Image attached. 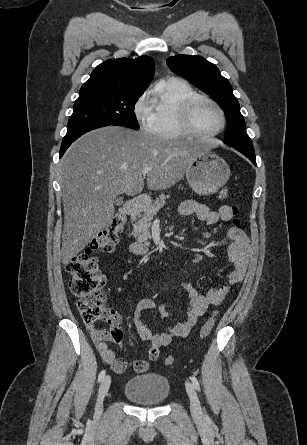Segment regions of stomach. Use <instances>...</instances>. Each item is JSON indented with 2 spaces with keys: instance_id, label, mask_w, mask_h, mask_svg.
<instances>
[{
  "instance_id": "obj_1",
  "label": "stomach",
  "mask_w": 307,
  "mask_h": 445,
  "mask_svg": "<svg viewBox=\"0 0 307 445\" xmlns=\"http://www.w3.org/2000/svg\"><path fill=\"white\" fill-rule=\"evenodd\" d=\"M188 184L196 194L217 192L230 176L229 164L216 152H200L185 170Z\"/></svg>"
}]
</instances>
